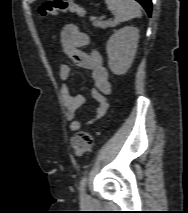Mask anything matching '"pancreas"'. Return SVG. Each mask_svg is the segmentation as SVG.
Returning <instances> with one entry per match:
<instances>
[{"label":"pancreas","instance_id":"1","mask_svg":"<svg viewBox=\"0 0 188 213\" xmlns=\"http://www.w3.org/2000/svg\"><path fill=\"white\" fill-rule=\"evenodd\" d=\"M90 21H92L93 26L100 27L101 29H106L108 27H115L117 25L116 21H102L98 20L96 17H91Z\"/></svg>","mask_w":188,"mask_h":213}]
</instances>
